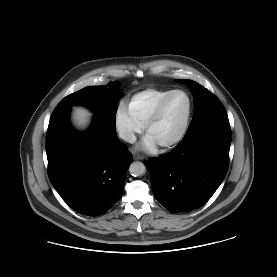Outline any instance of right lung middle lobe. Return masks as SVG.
<instances>
[{
  "instance_id": "dd1d6c3e",
  "label": "right lung middle lobe",
  "mask_w": 277,
  "mask_h": 277,
  "mask_svg": "<svg viewBox=\"0 0 277 277\" xmlns=\"http://www.w3.org/2000/svg\"><path fill=\"white\" fill-rule=\"evenodd\" d=\"M118 83L116 82L115 85ZM113 84L109 83V89L102 92V87H85L65 97L55 108L56 110H69L72 105L82 104L89 107L95 113V119L115 129V115L117 103L114 100Z\"/></svg>"
}]
</instances>
